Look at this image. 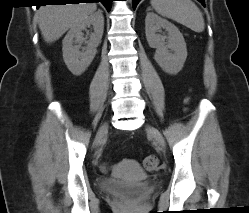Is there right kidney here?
I'll use <instances>...</instances> for the list:
<instances>
[{"label": "right kidney", "instance_id": "obj_1", "mask_svg": "<svg viewBox=\"0 0 249 213\" xmlns=\"http://www.w3.org/2000/svg\"><path fill=\"white\" fill-rule=\"evenodd\" d=\"M93 26L89 40L83 37V30ZM104 30V17L102 11L89 15L80 23L74 25L63 39V59L68 69L74 75H81L93 61L97 47L101 42ZM82 43L87 46L80 51Z\"/></svg>", "mask_w": 249, "mask_h": 213}]
</instances>
